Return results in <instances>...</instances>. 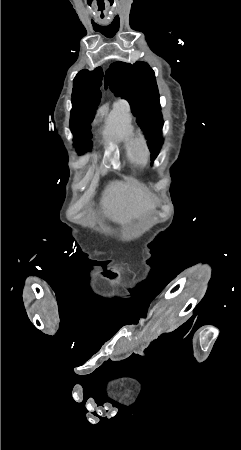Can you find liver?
Listing matches in <instances>:
<instances>
[{
  "mask_svg": "<svg viewBox=\"0 0 241 450\" xmlns=\"http://www.w3.org/2000/svg\"><path fill=\"white\" fill-rule=\"evenodd\" d=\"M102 204L106 212H113L122 220L137 216L139 210L155 208L145 190L129 186L125 182H113L111 188L103 196Z\"/></svg>",
  "mask_w": 241,
  "mask_h": 450,
  "instance_id": "liver-1",
  "label": "liver"
}]
</instances>
